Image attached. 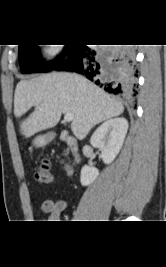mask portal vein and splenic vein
Returning a JSON list of instances; mask_svg holds the SVG:
<instances>
[{"label": "portal vein and splenic vein", "mask_w": 166, "mask_h": 267, "mask_svg": "<svg viewBox=\"0 0 166 267\" xmlns=\"http://www.w3.org/2000/svg\"><path fill=\"white\" fill-rule=\"evenodd\" d=\"M73 118H74V116L71 113H67V114L64 115V120L66 122H71L73 120Z\"/></svg>", "instance_id": "18ae733b"}]
</instances>
